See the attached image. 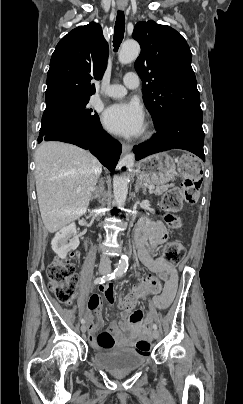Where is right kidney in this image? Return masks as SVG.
Instances as JSON below:
<instances>
[{
	"label": "right kidney",
	"mask_w": 243,
	"mask_h": 404,
	"mask_svg": "<svg viewBox=\"0 0 243 404\" xmlns=\"http://www.w3.org/2000/svg\"><path fill=\"white\" fill-rule=\"evenodd\" d=\"M80 242L77 236V230L75 224H69L66 228H62L60 232L55 234L52 242L51 248L59 258L65 260L68 252L71 250H76Z\"/></svg>",
	"instance_id": "right-kidney-1"
}]
</instances>
